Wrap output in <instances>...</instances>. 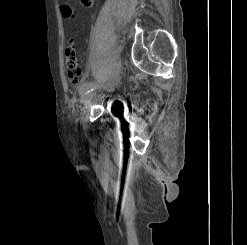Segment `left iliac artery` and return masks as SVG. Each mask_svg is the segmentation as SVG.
<instances>
[{"instance_id":"1","label":"left iliac artery","mask_w":247,"mask_h":245,"mask_svg":"<svg viewBox=\"0 0 247 245\" xmlns=\"http://www.w3.org/2000/svg\"><path fill=\"white\" fill-rule=\"evenodd\" d=\"M90 90H92V84L89 82H83L79 88V93L83 95L88 93Z\"/></svg>"}]
</instances>
